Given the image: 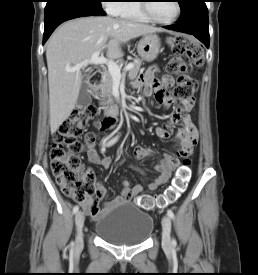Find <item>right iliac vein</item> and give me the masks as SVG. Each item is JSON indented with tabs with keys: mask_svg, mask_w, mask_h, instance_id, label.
<instances>
[{
	"mask_svg": "<svg viewBox=\"0 0 258 275\" xmlns=\"http://www.w3.org/2000/svg\"><path fill=\"white\" fill-rule=\"evenodd\" d=\"M85 216L82 212H78L75 216V225L77 230L76 235V248L79 249L83 245V226H84Z\"/></svg>",
	"mask_w": 258,
	"mask_h": 275,
	"instance_id": "right-iliac-vein-1",
	"label": "right iliac vein"
}]
</instances>
